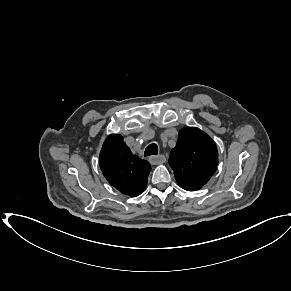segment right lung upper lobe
I'll return each instance as SVG.
<instances>
[{"instance_id":"1","label":"right lung upper lobe","mask_w":291,"mask_h":291,"mask_svg":"<svg viewBox=\"0 0 291 291\" xmlns=\"http://www.w3.org/2000/svg\"><path fill=\"white\" fill-rule=\"evenodd\" d=\"M99 162L104 177L122 194L136 197L145 190L150 164L132 154L121 135L107 137Z\"/></svg>"}]
</instances>
